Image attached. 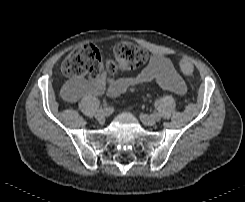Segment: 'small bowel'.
Here are the masks:
<instances>
[{
  "mask_svg": "<svg viewBox=\"0 0 245 202\" xmlns=\"http://www.w3.org/2000/svg\"><path fill=\"white\" fill-rule=\"evenodd\" d=\"M187 62L189 61L181 59L179 61L180 69ZM152 82L176 94H184L187 90L186 83L176 72L173 64L161 55H153L147 66L132 77L111 80L105 72H102L94 79H77L65 103L68 105L79 104L84 99L104 93L111 97H117L128 90L142 89Z\"/></svg>",
  "mask_w": 245,
  "mask_h": 202,
  "instance_id": "obj_1",
  "label": "small bowel"
}]
</instances>
